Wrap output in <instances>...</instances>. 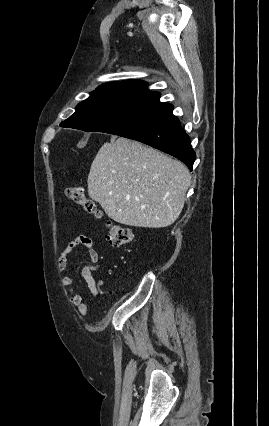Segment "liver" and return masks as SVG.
Returning a JSON list of instances; mask_svg holds the SVG:
<instances>
[{"instance_id": "liver-1", "label": "liver", "mask_w": 269, "mask_h": 426, "mask_svg": "<svg viewBox=\"0 0 269 426\" xmlns=\"http://www.w3.org/2000/svg\"><path fill=\"white\" fill-rule=\"evenodd\" d=\"M87 182L89 197L112 220L164 228L179 217L191 175L180 161L138 141L115 137L99 149Z\"/></svg>"}]
</instances>
